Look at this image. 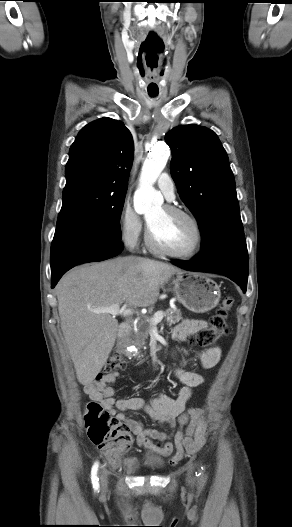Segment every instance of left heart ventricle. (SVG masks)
I'll list each match as a JSON object with an SVG mask.
<instances>
[{"mask_svg":"<svg viewBox=\"0 0 292 527\" xmlns=\"http://www.w3.org/2000/svg\"><path fill=\"white\" fill-rule=\"evenodd\" d=\"M147 220L154 239L161 246L183 252L193 245L195 231L187 218L157 207L149 212Z\"/></svg>","mask_w":292,"mask_h":527,"instance_id":"obj_1","label":"left heart ventricle"}]
</instances>
